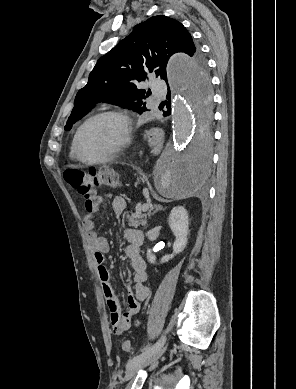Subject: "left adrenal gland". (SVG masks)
I'll use <instances>...</instances> for the list:
<instances>
[{
    "mask_svg": "<svg viewBox=\"0 0 296 389\" xmlns=\"http://www.w3.org/2000/svg\"><path fill=\"white\" fill-rule=\"evenodd\" d=\"M152 209H155V210L153 211V213H152V215H154L156 212L162 210L163 207H162L161 205L155 204V205L152 207Z\"/></svg>",
    "mask_w": 296,
    "mask_h": 389,
    "instance_id": "a2214340",
    "label": "left adrenal gland"
}]
</instances>
